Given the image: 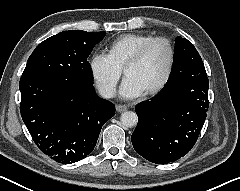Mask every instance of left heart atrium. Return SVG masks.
<instances>
[{
  "mask_svg": "<svg viewBox=\"0 0 240 191\" xmlns=\"http://www.w3.org/2000/svg\"><path fill=\"white\" fill-rule=\"evenodd\" d=\"M141 94L142 91L139 86L131 78L125 77L121 85L120 95L123 98L131 99L138 97Z\"/></svg>",
  "mask_w": 240,
  "mask_h": 191,
  "instance_id": "left-heart-atrium-1",
  "label": "left heart atrium"
}]
</instances>
